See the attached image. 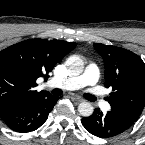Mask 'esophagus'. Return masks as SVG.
Listing matches in <instances>:
<instances>
[{"instance_id":"esophagus-1","label":"esophagus","mask_w":145,"mask_h":145,"mask_svg":"<svg viewBox=\"0 0 145 145\" xmlns=\"http://www.w3.org/2000/svg\"><path fill=\"white\" fill-rule=\"evenodd\" d=\"M71 100L75 103V104H78L80 102L83 101V99L80 97V96H77V95H72L71 96Z\"/></svg>"}]
</instances>
